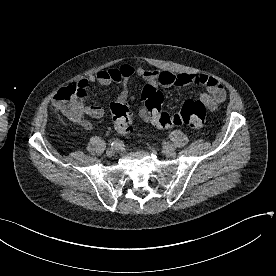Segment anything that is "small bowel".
Returning a JSON list of instances; mask_svg holds the SVG:
<instances>
[{"instance_id": "c3829d8e", "label": "small bowel", "mask_w": 276, "mask_h": 276, "mask_svg": "<svg viewBox=\"0 0 276 276\" xmlns=\"http://www.w3.org/2000/svg\"><path fill=\"white\" fill-rule=\"evenodd\" d=\"M133 75H138L148 83H157L163 87L203 86L206 91L200 95L199 99L211 110L216 109L226 98V91L223 85L215 77L193 73L174 74L169 71L150 70L143 67L135 68L130 64L124 63L118 67L99 70L95 74L79 80L77 84L82 88L83 92L74 102L77 109L76 115L68 119L82 128L90 130L92 123L85 117L100 119L104 116L105 111L101 106L87 105L85 103L88 86L95 83L104 86L112 83L121 84L122 90L117 102H126L128 99L127 82ZM142 117L148 121L143 113Z\"/></svg>"}]
</instances>
